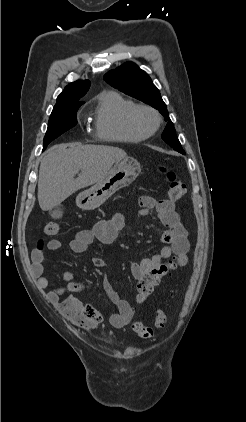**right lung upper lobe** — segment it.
I'll use <instances>...</instances> for the list:
<instances>
[{"mask_svg": "<svg viewBox=\"0 0 246 422\" xmlns=\"http://www.w3.org/2000/svg\"><path fill=\"white\" fill-rule=\"evenodd\" d=\"M90 87V82L85 81H75L68 84L63 92L58 96L57 103L54 107L84 103L80 98L85 95Z\"/></svg>", "mask_w": 246, "mask_h": 422, "instance_id": "obj_1", "label": "right lung upper lobe"}]
</instances>
